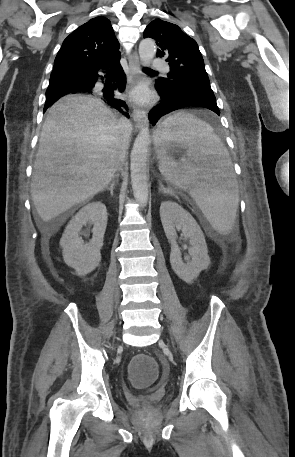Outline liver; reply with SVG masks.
Segmentation results:
<instances>
[{"mask_svg": "<svg viewBox=\"0 0 295 457\" xmlns=\"http://www.w3.org/2000/svg\"><path fill=\"white\" fill-rule=\"evenodd\" d=\"M121 120L98 98L69 95L56 102L43 124L31 196L49 222L107 188L125 151Z\"/></svg>", "mask_w": 295, "mask_h": 457, "instance_id": "6515ba94", "label": "liver"}]
</instances>
